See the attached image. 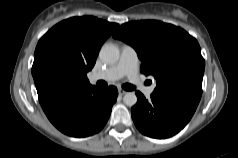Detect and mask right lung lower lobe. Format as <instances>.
Listing matches in <instances>:
<instances>
[{
	"instance_id": "obj_1",
	"label": "right lung lower lobe",
	"mask_w": 238,
	"mask_h": 158,
	"mask_svg": "<svg viewBox=\"0 0 238 158\" xmlns=\"http://www.w3.org/2000/svg\"><path fill=\"white\" fill-rule=\"evenodd\" d=\"M39 102L51 123L66 135L87 137L107 123L118 91L114 86H74L45 81L36 85Z\"/></svg>"
}]
</instances>
